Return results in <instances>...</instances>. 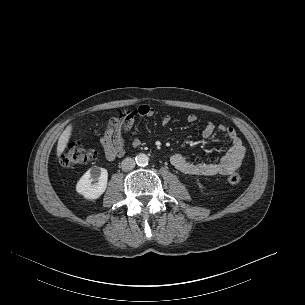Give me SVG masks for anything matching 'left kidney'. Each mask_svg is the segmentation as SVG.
Wrapping results in <instances>:
<instances>
[{
    "mask_svg": "<svg viewBox=\"0 0 305 305\" xmlns=\"http://www.w3.org/2000/svg\"><path fill=\"white\" fill-rule=\"evenodd\" d=\"M199 187L201 188V187H202V185H201V184H199Z\"/></svg>",
    "mask_w": 305,
    "mask_h": 305,
    "instance_id": "5707ae66",
    "label": "left kidney"
}]
</instances>
